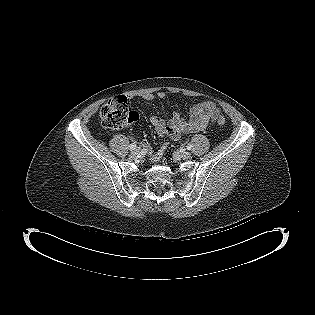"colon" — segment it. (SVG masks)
Returning a JSON list of instances; mask_svg holds the SVG:
<instances>
[{
    "instance_id": "1",
    "label": "colon",
    "mask_w": 315,
    "mask_h": 315,
    "mask_svg": "<svg viewBox=\"0 0 315 315\" xmlns=\"http://www.w3.org/2000/svg\"><path fill=\"white\" fill-rule=\"evenodd\" d=\"M102 124L109 129H121L137 121L136 112L130 111L125 97H116L107 102L100 110ZM216 121L223 125L225 118L217 113Z\"/></svg>"
}]
</instances>
